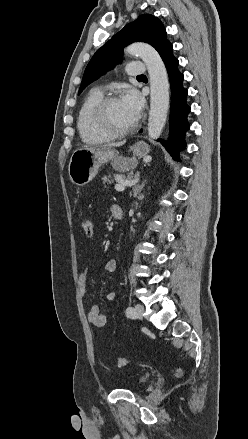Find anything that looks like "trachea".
Listing matches in <instances>:
<instances>
[{"instance_id": "3493384b", "label": "trachea", "mask_w": 248, "mask_h": 439, "mask_svg": "<svg viewBox=\"0 0 248 439\" xmlns=\"http://www.w3.org/2000/svg\"><path fill=\"white\" fill-rule=\"evenodd\" d=\"M138 77H144V75H140V76H138Z\"/></svg>"}]
</instances>
